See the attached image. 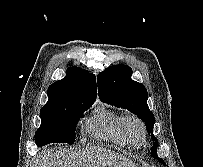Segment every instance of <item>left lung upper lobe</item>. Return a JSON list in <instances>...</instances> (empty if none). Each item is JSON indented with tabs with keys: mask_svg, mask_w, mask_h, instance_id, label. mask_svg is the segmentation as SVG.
Masks as SVG:
<instances>
[{
	"mask_svg": "<svg viewBox=\"0 0 203 167\" xmlns=\"http://www.w3.org/2000/svg\"><path fill=\"white\" fill-rule=\"evenodd\" d=\"M132 69L127 65L110 66L97 77L98 95L102 102L128 109L145 122L148 133L156 143L151 149V156L158 158L157 138L152 134L155 117L147 105L148 93L145 86L131 79ZM163 162L161 158H158Z\"/></svg>",
	"mask_w": 203,
	"mask_h": 167,
	"instance_id": "left-lung-upper-lobe-1",
	"label": "left lung upper lobe"
}]
</instances>
